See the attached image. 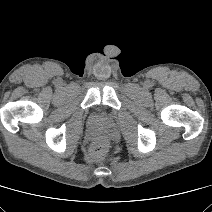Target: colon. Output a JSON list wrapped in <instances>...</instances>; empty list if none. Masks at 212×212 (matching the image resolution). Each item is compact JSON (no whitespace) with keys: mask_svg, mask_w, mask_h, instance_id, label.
<instances>
[{"mask_svg":"<svg viewBox=\"0 0 212 212\" xmlns=\"http://www.w3.org/2000/svg\"><path fill=\"white\" fill-rule=\"evenodd\" d=\"M106 147V139L103 136L98 137L93 143V151L96 153H102Z\"/></svg>","mask_w":212,"mask_h":212,"instance_id":"5ec220e1","label":"colon"}]
</instances>
